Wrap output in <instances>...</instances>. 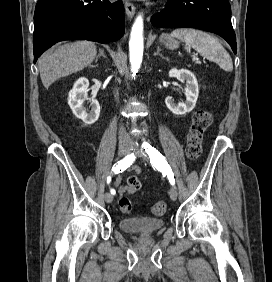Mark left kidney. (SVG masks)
Masks as SVG:
<instances>
[{
	"label": "left kidney",
	"instance_id": "1",
	"mask_svg": "<svg viewBox=\"0 0 272 282\" xmlns=\"http://www.w3.org/2000/svg\"><path fill=\"white\" fill-rule=\"evenodd\" d=\"M169 77L177 78L181 82H186L185 96L186 100L175 104L172 97L165 99L167 108L175 115H184L187 112H191L198 99L199 87L195 75L187 69H171L169 71Z\"/></svg>",
	"mask_w": 272,
	"mask_h": 282
}]
</instances>
